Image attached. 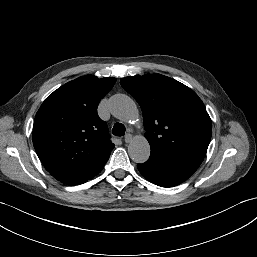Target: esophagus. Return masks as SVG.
Here are the masks:
<instances>
[{"mask_svg":"<svg viewBox=\"0 0 257 257\" xmlns=\"http://www.w3.org/2000/svg\"><path fill=\"white\" fill-rule=\"evenodd\" d=\"M132 140V135L131 134H126L124 137L125 143H129Z\"/></svg>","mask_w":257,"mask_h":257,"instance_id":"esophagus-1","label":"esophagus"}]
</instances>
